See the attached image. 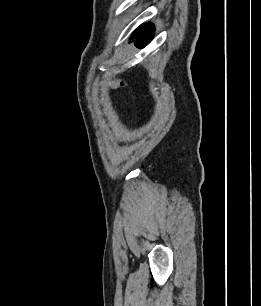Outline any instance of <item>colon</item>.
Masks as SVG:
<instances>
[{
  "instance_id": "5ec220e1",
  "label": "colon",
  "mask_w": 261,
  "mask_h": 306,
  "mask_svg": "<svg viewBox=\"0 0 261 306\" xmlns=\"http://www.w3.org/2000/svg\"><path fill=\"white\" fill-rule=\"evenodd\" d=\"M119 85L120 86H125V83L124 82H120Z\"/></svg>"
}]
</instances>
